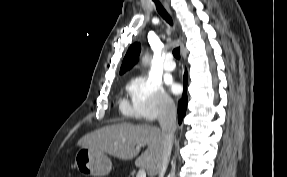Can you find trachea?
Instances as JSON below:
<instances>
[{"instance_id":"1","label":"trachea","mask_w":287,"mask_h":177,"mask_svg":"<svg viewBox=\"0 0 287 177\" xmlns=\"http://www.w3.org/2000/svg\"><path fill=\"white\" fill-rule=\"evenodd\" d=\"M156 4L157 10L162 16L163 19L170 25H173L172 19L170 15L166 12V10L163 8V6L160 4L158 0H153ZM173 55L176 59H180V47L173 50Z\"/></svg>"}]
</instances>
